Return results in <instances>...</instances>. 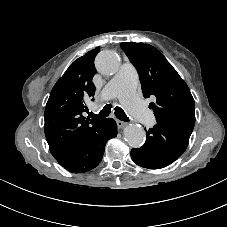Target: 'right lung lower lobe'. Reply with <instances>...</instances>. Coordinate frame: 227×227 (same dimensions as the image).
Listing matches in <instances>:
<instances>
[{"mask_svg": "<svg viewBox=\"0 0 227 227\" xmlns=\"http://www.w3.org/2000/svg\"><path fill=\"white\" fill-rule=\"evenodd\" d=\"M117 135L114 119H104L102 124L91 132L79 145L70 148L56 157L66 170L81 173L95 168L101 161L107 140Z\"/></svg>", "mask_w": 227, "mask_h": 227, "instance_id": "right-lung-lower-lobe-1", "label": "right lung lower lobe"}]
</instances>
